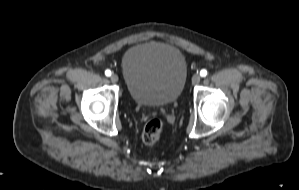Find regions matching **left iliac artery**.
Returning <instances> with one entry per match:
<instances>
[{"label":"left iliac artery","instance_id":"left-iliac-artery-1","mask_svg":"<svg viewBox=\"0 0 299 190\" xmlns=\"http://www.w3.org/2000/svg\"><path fill=\"white\" fill-rule=\"evenodd\" d=\"M206 75H207V70L202 69V70L200 71V76H201V77H205Z\"/></svg>","mask_w":299,"mask_h":190}]
</instances>
